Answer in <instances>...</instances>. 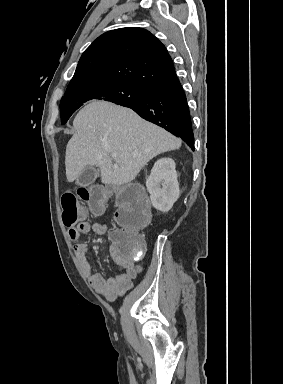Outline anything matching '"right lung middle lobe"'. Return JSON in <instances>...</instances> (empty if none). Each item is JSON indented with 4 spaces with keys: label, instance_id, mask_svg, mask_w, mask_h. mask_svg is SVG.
Returning <instances> with one entry per match:
<instances>
[{
    "label": "right lung middle lobe",
    "instance_id": "dd1d6c3e",
    "mask_svg": "<svg viewBox=\"0 0 283 384\" xmlns=\"http://www.w3.org/2000/svg\"><path fill=\"white\" fill-rule=\"evenodd\" d=\"M147 92L145 88L124 82H106L67 89L60 102L61 122L65 124L70 116L89 100L100 99L120 105L140 100Z\"/></svg>",
    "mask_w": 283,
    "mask_h": 384
}]
</instances>
